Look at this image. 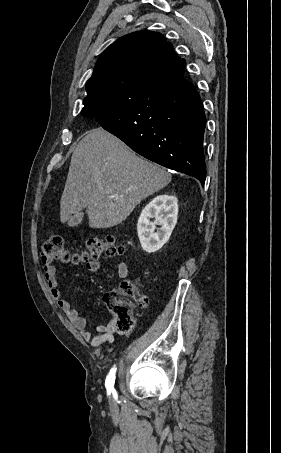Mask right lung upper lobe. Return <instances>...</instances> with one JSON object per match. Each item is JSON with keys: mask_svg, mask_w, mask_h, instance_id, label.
I'll return each mask as SVG.
<instances>
[{"mask_svg": "<svg viewBox=\"0 0 281 453\" xmlns=\"http://www.w3.org/2000/svg\"><path fill=\"white\" fill-rule=\"evenodd\" d=\"M185 66L162 34L139 31L125 35L98 59L86 83L81 113L94 106L129 101L161 83L177 81L185 76Z\"/></svg>", "mask_w": 281, "mask_h": 453, "instance_id": "obj_1", "label": "right lung upper lobe"}]
</instances>
